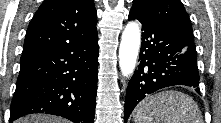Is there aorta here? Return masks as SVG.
Masks as SVG:
<instances>
[{
  "instance_id": "obj_1",
  "label": "aorta",
  "mask_w": 221,
  "mask_h": 123,
  "mask_svg": "<svg viewBox=\"0 0 221 123\" xmlns=\"http://www.w3.org/2000/svg\"><path fill=\"white\" fill-rule=\"evenodd\" d=\"M140 38L139 25L136 22H129L122 33L119 48V66L125 77L131 75L135 70Z\"/></svg>"
}]
</instances>
